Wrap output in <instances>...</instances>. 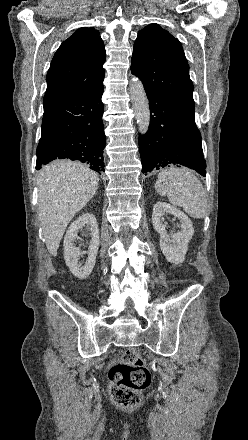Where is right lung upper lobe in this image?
<instances>
[{"instance_id":"1","label":"right lung upper lobe","mask_w":248,"mask_h":440,"mask_svg":"<svg viewBox=\"0 0 248 440\" xmlns=\"http://www.w3.org/2000/svg\"><path fill=\"white\" fill-rule=\"evenodd\" d=\"M106 60L99 31L80 28L56 51L47 73L43 105L48 106L71 96L91 92L103 86Z\"/></svg>"}]
</instances>
